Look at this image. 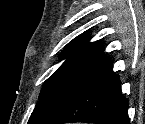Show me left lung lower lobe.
<instances>
[{
	"label": "left lung lower lobe",
	"instance_id": "0a47b994",
	"mask_svg": "<svg viewBox=\"0 0 145 124\" xmlns=\"http://www.w3.org/2000/svg\"><path fill=\"white\" fill-rule=\"evenodd\" d=\"M109 61L44 124H130L128 102Z\"/></svg>",
	"mask_w": 145,
	"mask_h": 124
}]
</instances>
